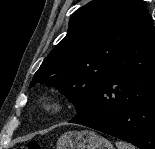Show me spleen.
<instances>
[{
    "mask_svg": "<svg viewBox=\"0 0 155 149\" xmlns=\"http://www.w3.org/2000/svg\"><path fill=\"white\" fill-rule=\"evenodd\" d=\"M116 147H117V149H135L134 146H132L128 143L122 142V141H117Z\"/></svg>",
    "mask_w": 155,
    "mask_h": 149,
    "instance_id": "obj_1",
    "label": "spleen"
}]
</instances>
